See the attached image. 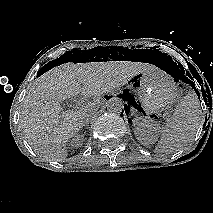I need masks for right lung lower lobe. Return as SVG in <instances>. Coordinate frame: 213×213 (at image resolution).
Instances as JSON below:
<instances>
[{"instance_id": "1", "label": "right lung lower lobe", "mask_w": 213, "mask_h": 213, "mask_svg": "<svg viewBox=\"0 0 213 213\" xmlns=\"http://www.w3.org/2000/svg\"><path fill=\"white\" fill-rule=\"evenodd\" d=\"M45 66H47V65H45ZM45 66L41 68V70L39 71V74H41L42 71H44Z\"/></svg>"}]
</instances>
